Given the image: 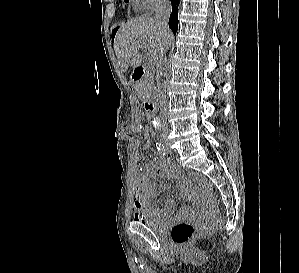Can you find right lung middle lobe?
<instances>
[{"label": "right lung middle lobe", "mask_w": 299, "mask_h": 273, "mask_svg": "<svg viewBox=\"0 0 299 273\" xmlns=\"http://www.w3.org/2000/svg\"><path fill=\"white\" fill-rule=\"evenodd\" d=\"M125 2H128L129 0H124Z\"/></svg>", "instance_id": "right-lung-middle-lobe-1"}]
</instances>
